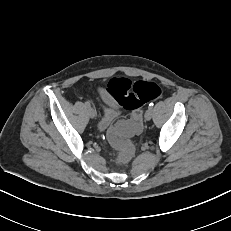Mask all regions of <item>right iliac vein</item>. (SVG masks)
Masks as SVG:
<instances>
[{"mask_svg": "<svg viewBox=\"0 0 231 231\" xmlns=\"http://www.w3.org/2000/svg\"><path fill=\"white\" fill-rule=\"evenodd\" d=\"M88 113L91 118H95V111L93 108L88 107Z\"/></svg>", "mask_w": 231, "mask_h": 231, "instance_id": "obj_1", "label": "right iliac vein"}]
</instances>
